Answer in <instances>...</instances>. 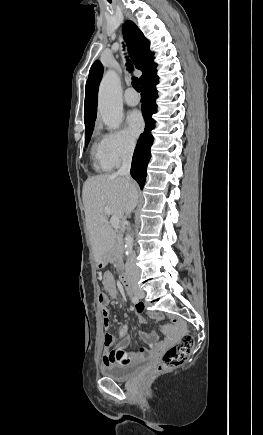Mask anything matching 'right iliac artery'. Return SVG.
Masks as SVG:
<instances>
[{
  "mask_svg": "<svg viewBox=\"0 0 263 435\" xmlns=\"http://www.w3.org/2000/svg\"><path fill=\"white\" fill-rule=\"evenodd\" d=\"M132 302H133V303H138V298H137L136 296H133V297H132Z\"/></svg>",
  "mask_w": 263,
  "mask_h": 435,
  "instance_id": "1",
  "label": "right iliac artery"
}]
</instances>
